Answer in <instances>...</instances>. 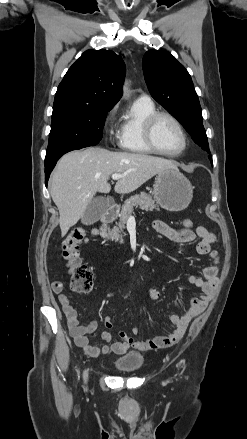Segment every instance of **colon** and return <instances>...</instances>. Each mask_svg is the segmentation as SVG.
<instances>
[{"label": "colon", "mask_w": 247, "mask_h": 439, "mask_svg": "<svg viewBox=\"0 0 247 439\" xmlns=\"http://www.w3.org/2000/svg\"><path fill=\"white\" fill-rule=\"evenodd\" d=\"M183 225L190 228L193 222L190 219H185ZM85 240V231L81 228H75L61 244L62 257L72 279V289L79 293H88L93 288V272L85 265L79 252L80 246Z\"/></svg>", "instance_id": "5ec220e1"}]
</instances>
